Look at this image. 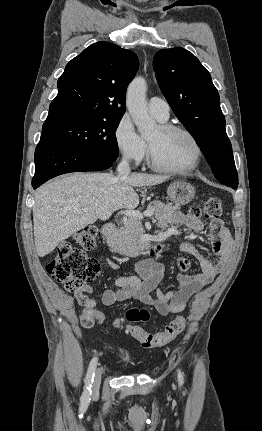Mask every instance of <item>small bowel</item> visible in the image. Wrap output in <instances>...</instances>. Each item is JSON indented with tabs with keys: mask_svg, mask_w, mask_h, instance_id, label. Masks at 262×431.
<instances>
[{
	"mask_svg": "<svg viewBox=\"0 0 262 431\" xmlns=\"http://www.w3.org/2000/svg\"><path fill=\"white\" fill-rule=\"evenodd\" d=\"M173 223L174 225H184L193 232L203 228V223L197 212L176 213ZM208 225L212 255L216 262L202 254L192 242L182 241L178 245L180 251L191 255L198 261L201 273L182 272L178 277L177 284L164 292L159 289L164 273L163 265L153 258H144L136 264L138 277L116 278L117 289L106 290L102 296V303L105 306H112L116 303L137 301L154 307L163 316L183 311L189 300L211 284L219 275L230 254L231 236L223 222L220 219H210ZM174 231L175 226L160 225V232L163 235ZM106 263L112 269H117V264L113 260L107 259ZM180 267L182 271L186 270L188 267L186 261H181ZM90 292L91 287L88 286L83 290L76 291L73 294V299L82 306L81 315L87 312L97 319L103 320L105 315L95 308L96 301L89 296ZM153 293L155 296L152 295Z\"/></svg>",
	"mask_w": 262,
	"mask_h": 431,
	"instance_id": "c3829d8e",
	"label": "small bowel"
}]
</instances>
